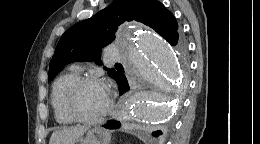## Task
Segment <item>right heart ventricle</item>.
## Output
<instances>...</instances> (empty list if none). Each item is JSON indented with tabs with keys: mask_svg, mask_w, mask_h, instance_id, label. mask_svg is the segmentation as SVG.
Masks as SVG:
<instances>
[{
	"mask_svg": "<svg viewBox=\"0 0 260 144\" xmlns=\"http://www.w3.org/2000/svg\"><path fill=\"white\" fill-rule=\"evenodd\" d=\"M80 78L79 71L70 69L60 75L53 84L51 104L55 120L60 125H69L74 120L68 115L65 109V98L71 86Z\"/></svg>",
	"mask_w": 260,
	"mask_h": 144,
	"instance_id": "1",
	"label": "right heart ventricle"
}]
</instances>
